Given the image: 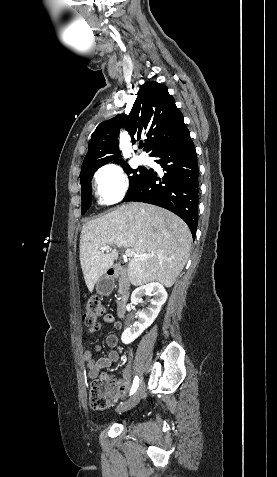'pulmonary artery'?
I'll use <instances>...</instances> for the list:
<instances>
[{"mask_svg": "<svg viewBox=\"0 0 277 477\" xmlns=\"http://www.w3.org/2000/svg\"><path fill=\"white\" fill-rule=\"evenodd\" d=\"M147 161H148V158H147L146 156H144V155H140V156L138 157V162H139L140 164L147 163Z\"/></svg>", "mask_w": 277, "mask_h": 477, "instance_id": "obj_1", "label": "pulmonary artery"}]
</instances>
